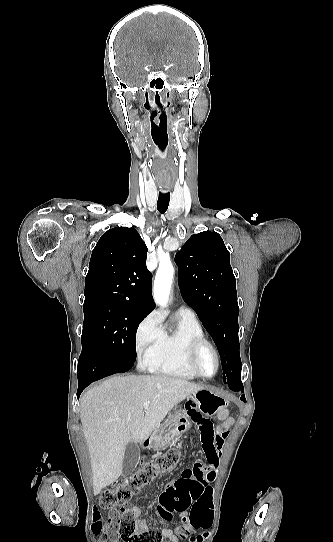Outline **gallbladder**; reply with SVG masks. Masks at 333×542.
Here are the masks:
<instances>
[{
	"mask_svg": "<svg viewBox=\"0 0 333 542\" xmlns=\"http://www.w3.org/2000/svg\"><path fill=\"white\" fill-rule=\"evenodd\" d=\"M140 448L137 444H128L123 458L122 474L123 478L130 476L134 472L139 460H140Z\"/></svg>",
	"mask_w": 333,
	"mask_h": 542,
	"instance_id": "1",
	"label": "gallbladder"
}]
</instances>
